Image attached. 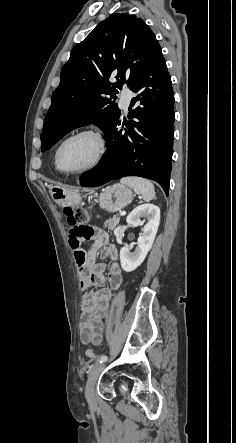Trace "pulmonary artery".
<instances>
[{"label":"pulmonary artery","instance_id":"e3ab8cb5","mask_svg":"<svg viewBox=\"0 0 236 443\" xmlns=\"http://www.w3.org/2000/svg\"><path fill=\"white\" fill-rule=\"evenodd\" d=\"M133 94L130 91H124L121 95V107L127 110Z\"/></svg>","mask_w":236,"mask_h":443}]
</instances>
